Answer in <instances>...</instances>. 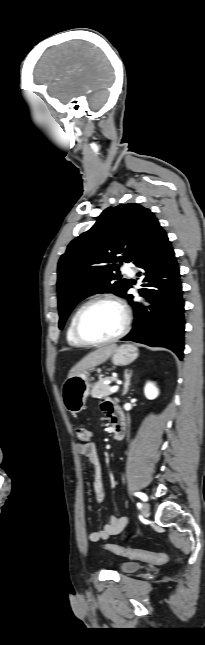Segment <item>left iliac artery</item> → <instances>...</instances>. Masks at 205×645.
<instances>
[{
    "mask_svg": "<svg viewBox=\"0 0 205 645\" xmlns=\"http://www.w3.org/2000/svg\"><path fill=\"white\" fill-rule=\"evenodd\" d=\"M135 495H136L137 497H139L141 500H143V501H147V496H146L144 493L137 492V493H135Z\"/></svg>",
    "mask_w": 205,
    "mask_h": 645,
    "instance_id": "left-iliac-artery-1",
    "label": "left iliac artery"
}]
</instances>
